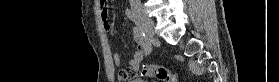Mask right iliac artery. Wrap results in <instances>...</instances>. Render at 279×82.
<instances>
[{
  "label": "right iliac artery",
  "instance_id": "1",
  "mask_svg": "<svg viewBox=\"0 0 279 82\" xmlns=\"http://www.w3.org/2000/svg\"><path fill=\"white\" fill-rule=\"evenodd\" d=\"M125 14L127 15V17L132 20L133 22H135V24L139 27V29L141 30V35L142 37L145 39L146 41V47H145V53L146 55L150 54L152 51V45H151V41L149 39V32L146 29L144 23L142 22L141 18L132 10V9H126Z\"/></svg>",
  "mask_w": 279,
  "mask_h": 82
}]
</instances>
